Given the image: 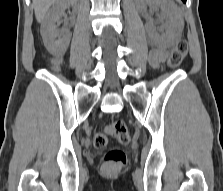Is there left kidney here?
<instances>
[{
	"label": "left kidney",
	"instance_id": "1",
	"mask_svg": "<svg viewBox=\"0 0 223 191\" xmlns=\"http://www.w3.org/2000/svg\"><path fill=\"white\" fill-rule=\"evenodd\" d=\"M136 2L142 13H146L147 6L161 9L160 19L164 23L156 27L149 20L146 23V30L154 44L172 46L180 38L184 26L182 14L177 6L171 0H137Z\"/></svg>",
	"mask_w": 223,
	"mask_h": 191
}]
</instances>
